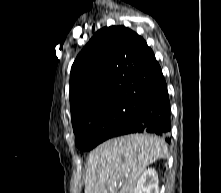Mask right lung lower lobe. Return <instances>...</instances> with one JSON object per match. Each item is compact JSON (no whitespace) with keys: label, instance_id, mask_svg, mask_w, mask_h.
Listing matches in <instances>:
<instances>
[{"label":"right lung lower lobe","instance_id":"obj_1","mask_svg":"<svg viewBox=\"0 0 221 193\" xmlns=\"http://www.w3.org/2000/svg\"><path fill=\"white\" fill-rule=\"evenodd\" d=\"M170 102L167 85L161 73L143 99V108L135 119L120 128L113 137L129 133H154L170 143Z\"/></svg>","mask_w":221,"mask_h":193}]
</instances>
